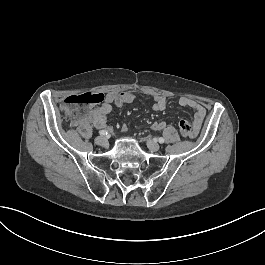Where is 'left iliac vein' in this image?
Instances as JSON below:
<instances>
[{"instance_id": "1", "label": "left iliac vein", "mask_w": 265, "mask_h": 265, "mask_svg": "<svg viewBox=\"0 0 265 265\" xmlns=\"http://www.w3.org/2000/svg\"><path fill=\"white\" fill-rule=\"evenodd\" d=\"M146 143H147V147L153 152H156L160 149L159 144L152 141L151 139H147Z\"/></svg>"}]
</instances>
